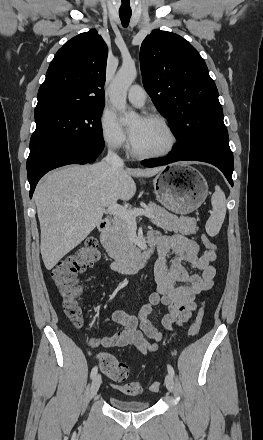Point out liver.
<instances>
[{
  "label": "liver",
  "mask_w": 263,
  "mask_h": 440,
  "mask_svg": "<svg viewBox=\"0 0 263 440\" xmlns=\"http://www.w3.org/2000/svg\"><path fill=\"white\" fill-rule=\"evenodd\" d=\"M164 168H115L101 161L49 173L34 193L46 269L51 270L93 231L106 207L135 195L132 176L152 177Z\"/></svg>",
  "instance_id": "liver-1"
}]
</instances>
